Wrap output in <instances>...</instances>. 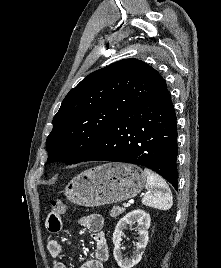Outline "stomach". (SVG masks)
<instances>
[{
	"label": "stomach",
	"instance_id": "0dacf381",
	"mask_svg": "<svg viewBox=\"0 0 221 268\" xmlns=\"http://www.w3.org/2000/svg\"><path fill=\"white\" fill-rule=\"evenodd\" d=\"M145 183L139 166L112 162L81 172L66 185L64 194L76 205L97 207L135 197Z\"/></svg>",
	"mask_w": 221,
	"mask_h": 268
}]
</instances>
